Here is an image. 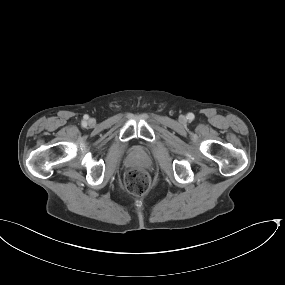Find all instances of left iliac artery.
Wrapping results in <instances>:
<instances>
[{"instance_id": "obj_1", "label": "left iliac artery", "mask_w": 285, "mask_h": 285, "mask_svg": "<svg viewBox=\"0 0 285 285\" xmlns=\"http://www.w3.org/2000/svg\"><path fill=\"white\" fill-rule=\"evenodd\" d=\"M187 119H188L189 121L194 120V114H193V113H188Z\"/></svg>"}]
</instances>
